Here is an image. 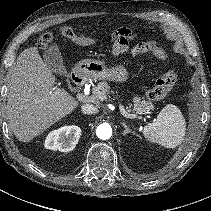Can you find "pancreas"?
<instances>
[{
    "label": "pancreas",
    "instance_id": "pancreas-1",
    "mask_svg": "<svg viewBox=\"0 0 211 211\" xmlns=\"http://www.w3.org/2000/svg\"><path fill=\"white\" fill-rule=\"evenodd\" d=\"M112 93L113 91H110V86L107 84V82L102 81L97 84L93 88V97L95 100H106L109 93ZM132 105L130 104L129 107H127L128 111H131ZM154 109V106L152 102L146 101L144 98H140L138 96L133 98V110L136 113H142V112H148L150 110Z\"/></svg>",
    "mask_w": 211,
    "mask_h": 211
}]
</instances>
